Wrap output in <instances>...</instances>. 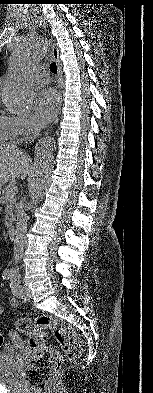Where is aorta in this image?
I'll use <instances>...</instances> for the list:
<instances>
[{
  "label": "aorta",
  "mask_w": 153,
  "mask_h": 393,
  "mask_svg": "<svg viewBox=\"0 0 153 393\" xmlns=\"http://www.w3.org/2000/svg\"><path fill=\"white\" fill-rule=\"evenodd\" d=\"M48 39L44 35H25L12 50L9 59L10 76L1 88L2 102L12 113H25L33 108L35 91L30 73L46 56ZM54 141L43 138L34 151V177L30 187V205L36 206L43 199L51 184L54 167Z\"/></svg>",
  "instance_id": "1"
}]
</instances>
